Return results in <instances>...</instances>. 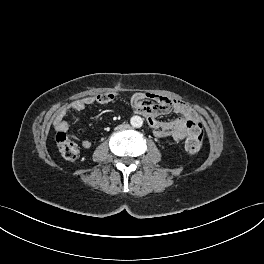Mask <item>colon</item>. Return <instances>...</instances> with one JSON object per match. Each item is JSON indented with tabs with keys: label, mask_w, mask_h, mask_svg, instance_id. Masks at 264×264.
Masks as SVG:
<instances>
[{
	"label": "colon",
	"mask_w": 264,
	"mask_h": 264,
	"mask_svg": "<svg viewBox=\"0 0 264 264\" xmlns=\"http://www.w3.org/2000/svg\"><path fill=\"white\" fill-rule=\"evenodd\" d=\"M203 127L199 121H190L188 134L185 141V149L190 154L199 152L203 141ZM56 145L60 154L67 160H75L79 155L77 144L63 131L56 135Z\"/></svg>",
	"instance_id": "1"
}]
</instances>
